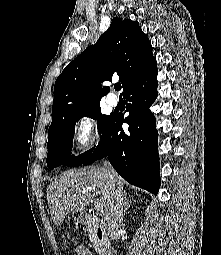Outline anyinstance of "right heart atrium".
<instances>
[{
	"label": "right heart atrium",
	"mask_w": 221,
	"mask_h": 255,
	"mask_svg": "<svg viewBox=\"0 0 221 255\" xmlns=\"http://www.w3.org/2000/svg\"><path fill=\"white\" fill-rule=\"evenodd\" d=\"M73 143L79 150H84L96 143L97 124L96 120L88 113L77 117L73 125Z\"/></svg>",
	"instance_id": "d8ad5b80"
}]
</instances>
